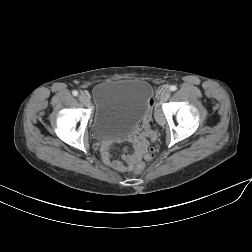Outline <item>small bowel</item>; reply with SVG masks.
Listing matches in <instances>:
<instances>
[{"mask_svg": "<svg viewBox=\"0 0 252 252\" xmlns=\"http://www.w3.org/2000/svg\"><path fill=\"white\" fill-rule=\"evenodd\" d=\"M151 132L146 123L138 122L131 130L128 140L132 145V152L124 150L122 152L121 160L112 159L108 150L103 151V159L105 163L117 170L126 171L133 167V165L141 160L143 157H147L146 151L149 145V136Z\"/></svg>", "mask_w": 252, "mask_h": 252, "instance_id": "1", "label": "small bowel"}]
</instances>
